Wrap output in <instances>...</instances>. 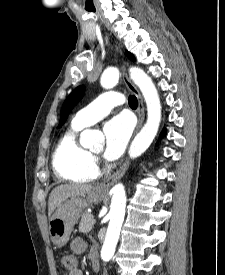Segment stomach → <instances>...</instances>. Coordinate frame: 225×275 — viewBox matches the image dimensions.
I'll return each instance as SVG.
<instances>
[{
	"label": "stomach",
	"mask_w": 225,
	"mask_h": 275,
	"mask_svg": "<svg viewBox=\"0 0 225 275\" xmlns=\"http://www.w3.org/2000/svg\"><path fill=\"white\" fill-rule=\"evenodd\" d=\"M105 192L94 188L84 196L72 197L60 204L49 219V234L53 244L64 246L83 211L98 203Z\"/></svg>",
	"instance_id": "stomach-1"
}]
</instances>
